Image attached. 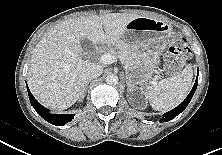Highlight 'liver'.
I'll list each match as a JSON object with an SVG mask.
<instances>
[{"label":"liver","mask_w":222,"mask_h":155,"mask_svg":"<svg viewBox=\"0 0 222 155\" xmlns=\"http://www.w3.org/2000/svg\"><path fill=\"white\" fill-rule=\"evenodd\" d=\"M134 14L110 13L62 21L50 29L32 52L28 85L46 107L64 110L82 95L85 70L91 62L82 59L81 39L93 44L122 43L126 26Z\"/></svg>","instance_id":"1"}]
</instances>
